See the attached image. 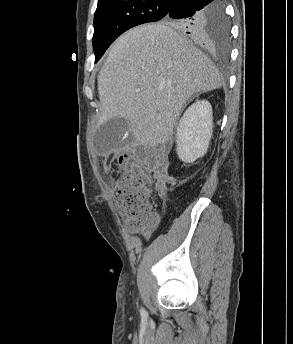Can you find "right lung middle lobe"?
<instances>
[{
	"label": "right lung middle lobe",
	"instance_id": "1",
	"mask_svg": "<svg viewBox=\"0 0 293 344\" xmlns=\"http://www.w3.org/2000/svg\"><path fill=\"white\" fill-rule=\"evenodd\" d=\"M171 0H105L98 3L94 16L93 48L95 63L102 57L111 43L128 29L161 19L171 26L182 29V20H171L167 14ZM207 26L206 43L222 50L229 47V25L219 0L215 10L201 18Z\"/></svg>",
	"mask_w": 293,
	"mask_h": 344
}]
</instances>
